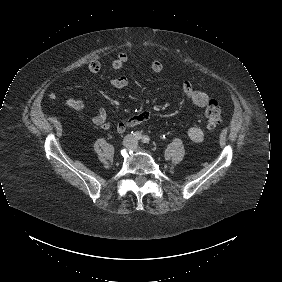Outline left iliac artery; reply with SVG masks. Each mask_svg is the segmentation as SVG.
I'll list each match as a JSON object with an SVG mask.
<instances>
[{
	"label": "left iliac artery",
	"instance_id": "left-iliac-artery-1",
	"mask_svg": "<svg viewBox=\"0 0 282 282\" xmlns=\"http://www.w3.org/2000/svg\"><path fill=\"white\" fill-rule=\"evenodd\" d=\"M149 141H150V139H149L148 136L144 135V136L142 137V142H143V143H148Z\"/></svg>",
	"mask_w": 282,
	"mask_h": 282
}]
</instances>
